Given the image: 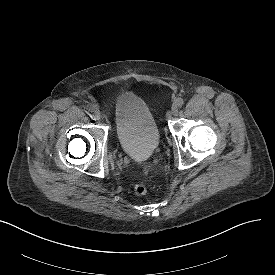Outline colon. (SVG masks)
<instances>
[{"instance_id":"colon-1","label":"colon","mask_w":275,"mask_h":275,"mask_svg":"<svg viewBox=\"0 0 275 275\" xmlns=\"http://www.w3.org/2000/svg\"><path fill=\"white\" fill-rule=\"evenodd\" d=\"M150 173H151L150 168H145L143 170V174L146 177L149 176ZM133 192L137 196H143V195H145L147 193V182H146V180H143V181H140V182L136 183L133 186Z\"/></svg>"}]
</instances>
